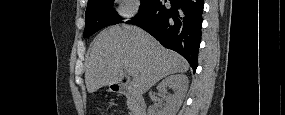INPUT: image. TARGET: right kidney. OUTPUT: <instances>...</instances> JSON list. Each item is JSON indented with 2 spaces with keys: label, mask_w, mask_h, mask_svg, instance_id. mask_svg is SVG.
<instances>
[{
  "label": "right kidney",
  "mask_w": 285,
  "mask_h": 115,
  "mask_svg": "<svg viewBox=\"0 0 285 115\" xmlns=\"http://www.w3.org/2000/svg\"><path fill=\"white\" fill-rule=\"evenodd\" d=\"M188 84V78L184 74L171 75L162 80L158 84L157 90L164 96L166 105L161 110L149 106L148 115H176L187 92ZM167 88H172L174 93L168 94Z\"/></svg>",
  "instance_id": "ca27d5eb"
}]
</instances>
